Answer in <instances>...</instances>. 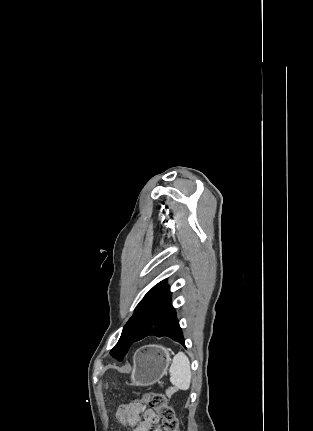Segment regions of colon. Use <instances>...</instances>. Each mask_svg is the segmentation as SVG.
<instances>
[{
    "label": "colon",
    "mask_w": 313,
    "mask_h": 431,
    "mask_svg": "<svg viewBox=\"0 0 313 431\" xmlns=\"http://www.w3.org/2000/svg\"><path fill=\"white\" fill-rule=\"evenodd\" d=\"M141 402L152 408L158 416L155 431H178L174 410L168 405L164 395L154 392L145 393Z\"/></svg>",
    "instance_id": "5ec220e1"
}]
</instances>
